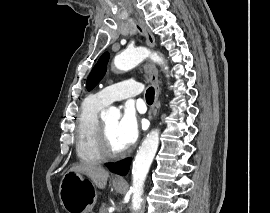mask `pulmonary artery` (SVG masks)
Segmentation results:
<instances>
[{
    "instance_id": "1",
    "label": "pulmonary artery",
    "mask_w": 270,
    "mask_h": 213,
    "mask_svg": "<svg viewBox=\"0 0 270 213\" xmlns=\"http://www.w3.org/2000/svg\"><path fill=\"white\" fill-rule=\"evenodd\" d=\"M142 91V86L135 80H124L110 85L94 96L98 103L107 106L113 101L133 98L139 95Z\"/></svg>"
}]
</instances>
